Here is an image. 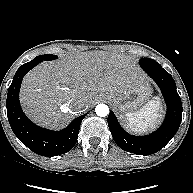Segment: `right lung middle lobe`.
I'll use <instances>...</instances> for the list:
<instances>
[{
    "mask_svg": "<svg viewBox=\"0 0 193 193\" xmlns=\"http://www.w3.org/2000/svg\"><path fill=\"white\" fill-rule=\"evenodd\" d=\"M56 58H57V56H55V55L44 54V55H39V56L35 57L33 60L42 62L43 60H54Z\"/></svg>",
    "mask_w": 193,
    "mask_h": 193,
    "instance_id": "dd1d6c3e",
    "label": "right lung middle lobe"
}]
</instances>
